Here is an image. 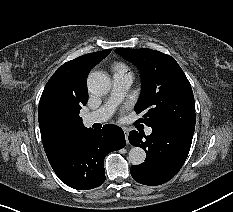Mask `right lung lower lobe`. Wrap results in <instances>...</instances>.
Returning <instances> with one entry per match:
<instances>
[{
  "mask_svg": "<svg viewBox=\"0 0 233 212\" xmlns=\"http://www.w3.org/2000/svg\"><path fill=\"white\" fill-rule=\"evenodd\" d=\"M125 144L124 132L118 126L107 124L100 130L84 128L50 164L67 186L79 190L92 189L105 181V156Z\"/></svg>",
  "mask_w": 233,
  "mask_h": 212,
  "instance_id": "obj_1",
  "label": "right lung lower lobe"
}]
</instances>
